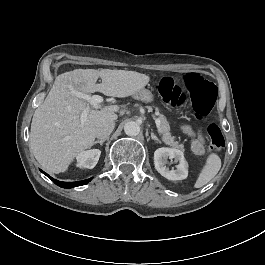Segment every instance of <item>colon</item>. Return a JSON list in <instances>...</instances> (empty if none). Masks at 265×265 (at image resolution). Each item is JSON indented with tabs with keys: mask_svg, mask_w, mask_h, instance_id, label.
Instances as JSON below:
<instances>
[{
	"mask_svg": "<svg viewBox=\"0 0 265 265\" xmlns=\"http://www.w3.org/2000/svg\"><path fill=\"white\" fill-rule=\"evenodd\" d=\"M155 89L171 109L181 110L190 106L196 118L205 117L218 98V88L201 69L189 70L183 76L182 87L173 77L164 76ZM207 135L213 151L220 152L224 149L225 139L218 124L210 123Z\"/></svg>",
	"mask_w": 265,
	"mask_h": 265,
	"instance_id": "5ec220e1",
	"label": "colon"
}]
</instances>
